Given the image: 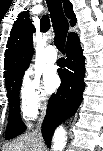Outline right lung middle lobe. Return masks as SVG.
Here are the masks:
<instances>
[{
    "instance_id": "1",
    "label": "right lung middle lobe",
    "mask_w": 103,
    "mask_h": 151,
    "mask_svg": "<svg viewBox=\"0 0 103 151\" xmlns=\"http://www.w3.org/2000/svg\"><path fill=\"white\" fill-rule=\"evenodd\" d=\"M22 76L6 87L9 100V121L5 132L6 139L14 138L22 134L26 129L21 121L19 104V91Z\"/></svg>"
}]
</instances>
